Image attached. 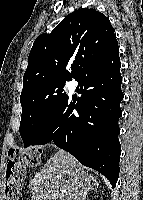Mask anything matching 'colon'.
Masks as SVG:
<instances>
[{
	"mask_svg": "<svg viewBox=\"0 0 143 200\" xmlns=\"http://www.w3.org/2000/svg\"><path fill=\"white\" fill-rule=\"evenodd\" d=\"M42 151L37 148L13 149L8 154L4 200H19L20 183L25 178L26 167L40 163Z\"/></svg>",
	"mask_w": 143,
	"mask_h": 200,
	"instance_id": "1",
	"label": "colon"
}]
</instances>
